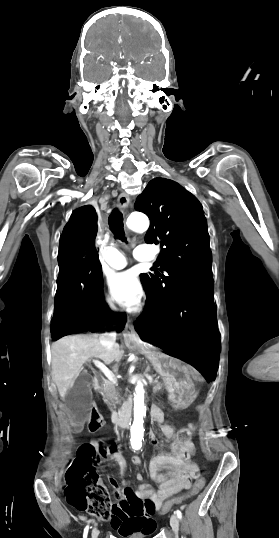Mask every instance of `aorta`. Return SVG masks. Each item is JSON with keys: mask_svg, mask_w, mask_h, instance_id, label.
Masks as SVG:
<instances>
[{"mask_svg": "<svg viewBox=\"0 0 279 538\" xmlns=\"http://www.w3.org/2000/svg\"><path fill=\"white\" fill-rule=\"evenodd\" d=\"M127 227L137 232H145L149 228V219L141 213H132L127 219ZM145 415L144 408V387L138 381L134 392V421L131 426V446L139 449L142 446L144 435L143 418Z\"/></svg>", "mask_w": 279, "mask_h": 538, "instance_id": "aorta-1", "label": "aorta"}]
</instances>
